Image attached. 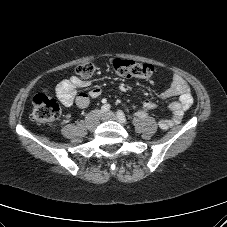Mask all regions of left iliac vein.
I'll return each instance as SVG.
<instances>
[{
	"label": "left iliac vein",
	"mask_w": 227,
	"mask_h": 227,
	"mask_svg": "<svg viewBox=\"0 0 227 227\" xmlns=\"http://www.w3.org/2000/svg\"><path fill=\"white\" fill-rule=\"evenodd\" d=\"M102 119L103 120H113V121H117V122L123 124V122L113 112L104 113Z\"/></svg>",
	"instance_id": "1"
}]
</instances>
